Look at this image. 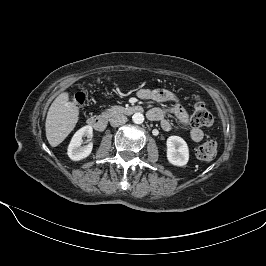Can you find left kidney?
Returning <instances> with one entry per match:
<instances>
[{
	"instance_id": "5707ae66",
	"label": "left kidney",
	"mask_w": 266,
	"mask_h": 266,
	"mask_svg": "<svg viewBox=\"0 0 266 266\" xmlns=\"http://www.w3.org/2000/svg\"><path fill=\"white\" fill-rule=\"evenodd\" d=\"M167 159L175 166H184L189 160L187 143L179 136H170L166 142Z\"/></svg>"
}]
</instances>
